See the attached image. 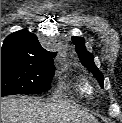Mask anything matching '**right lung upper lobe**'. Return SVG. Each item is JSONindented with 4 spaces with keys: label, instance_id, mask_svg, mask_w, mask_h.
Here are the masks:
<instances>
[{
    "label": "right lung upper lobe",
    "instance_id": "cb5924a9",
    "mask_svg": "<svg viewBox=\"0 0 122 123\" xmlns=\"http://www.w3.org/2000/svg\"><path fill=\"white\" fill-rule=\"evenodd\" d=\"M55 55V52L47 51L40 45L35 34L26 30L7 36L1 48V58L53 63Z\"/></svg>",
    "mask_w": 122,
    "mask_h": 123
}]
</instances>
